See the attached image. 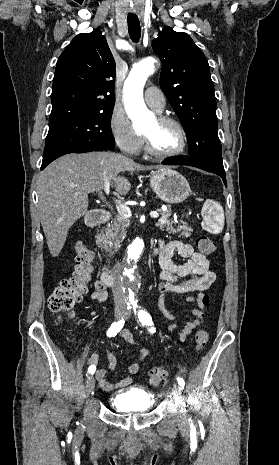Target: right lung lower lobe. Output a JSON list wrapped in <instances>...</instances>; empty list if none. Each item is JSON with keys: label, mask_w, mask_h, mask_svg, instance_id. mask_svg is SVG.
Instances as JSON below:
<instances>
[{"label": "right lung lower lobe", "mask_w": 279, "mask_h": 465, "mask_svg": "<svg viewBox=\"0 0 279 465\" xmlns=\"http://www.w3.org/2000/svg\"><path fill=\"white\" fill-rule=\"evenodd\" d=\"M113 147H105V146H86L78 150L76 153H84V152H91V151H96V150H109L113 149ZM48 164H42L41 170H43Z\"/></svg>", "instance_id": "obj_1"}]
</instances>
